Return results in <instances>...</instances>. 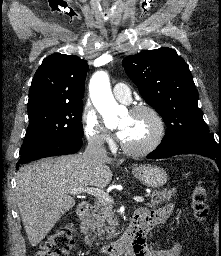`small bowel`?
Masks as SVG:
<instances>
[{
    "label": "small bowel",
    "instance_id": "c3829d8e",
    "mask_svg": "<svg viewBox=\"0 0 221 256\" xmlns=\"http://www.w3.org/2000/svg\"><path fill=\"white\" fill-rule=\"evenodd\" d=\"M172 210V205H166L155 210L138 209L144 214L142 232L138 240L127 251V256H179V245L166 250H153L149 248L146 239L147 233L156 225L165 222L170 217Z\"/></svg>",
    "mask_w": 221,
    "mask_h": 256
}]
</instances>
